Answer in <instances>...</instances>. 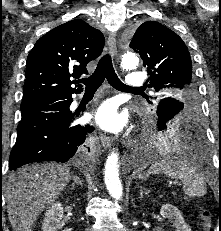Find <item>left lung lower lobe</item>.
<instances>
[{
  "label": "left lung lower lobe",
  "mask_w": 221,
  "mask_h": 231,
  "mask_svg": "<svg viewBox=\"0 0 221 231\" xmlns=\"http://www.w3.org/2000/svg\"><path fill=\"white\" fill-rule=\"evenodd\" d=\"M170 101V98H165L162 102ZM172 119V117L165 116L158 120V127L160 129H166L165 123ZM167 138L173 141L175 144H180L186 147L188 152L194 154L204 153L203 149V130L198 115L192 114L189 118V122L182 130H173L168 133Z\"/></svg>",
  "instance_id": "0a47b994"
}]
</instances>
